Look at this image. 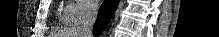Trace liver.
Instances as JSON below:
<instances>
[{
    "instance_id": "liver-1",
    "label": "liver",
    "mask_w": 219,
    "mask_h": 37,
    "mask_svg": "<svg viewBox=\"0 0 219 37\" xmlns=\"http://www.w3.org/2000/svg\"><path fill=\"white\" fill-rule=\"evenodd\" d=\"M74 34V33H73ZM75 35H80V34H78V33H75ZM77 37H82V36H77Z\"/></svg>"
}]
</instances>
